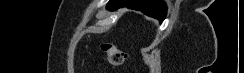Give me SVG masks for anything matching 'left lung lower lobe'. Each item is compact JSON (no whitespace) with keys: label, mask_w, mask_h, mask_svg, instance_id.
<instances>
[{"label":"left lung lower lobe","mask_w":244,"mask_h":73,"mask_svg":"<svg viewBox=\"0 0 244 73\" xmlns=\"http://www.w3.org/2000/svg\"><path fill=\"white\" fill-rule=\"evenodd\" d=\"M125 6L130 9L140 10L148 16L157 18L160 22L166 16V4L161 0H110L107 9L116 10Z\"/></svg>","instance_id":"obj_1"}]
</instances>
